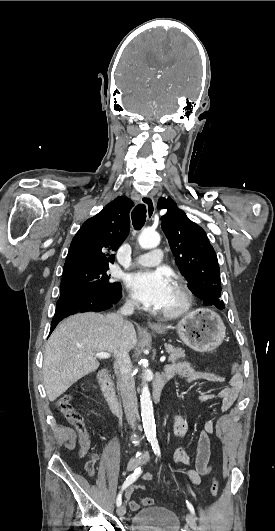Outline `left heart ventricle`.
Wrapping results in <instances>:
<instances>
[{
	"label": "left heart ventricle",
	"mask_w": 275,
	"mask_h": 531,
	"mask_svg": "<svg viewBox=\"0 0 275 531\" xmlns=\"http://www.w3.org/2000/svg\"><path fill=\"white\" fill-rule=\"evenodd\" d=\"M181 302V294L172 283L165 297L163 304L157 308L159 311H166L176 308Z\"/></svg>",
	"instance_id": "left-heart-ventricle-1"
}]
</instances>
